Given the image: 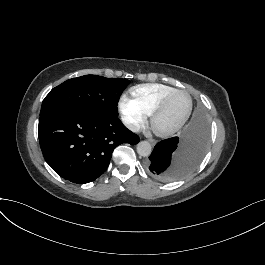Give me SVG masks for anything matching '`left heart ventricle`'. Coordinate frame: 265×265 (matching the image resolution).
<instances>
[{"label": "left heart ventricle", "mask_w": 265, "mask_h": 265, "mask_svg": "<svg viewBox=\"0 0 265 265\" xmlns=\"http://www.w3.org/2000/svg\"><path fill=\"white\" fill-rule=\"evenodd\" d=\"M188 105V99L182 93L173 95L163 107L159 116V125L161 127H170L175 125L184 115Z\"/></svg>", "instance_id": "left-heart-ventricle-1"}]
</instances>
